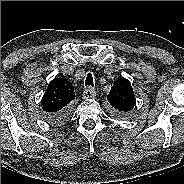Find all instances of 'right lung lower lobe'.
<instances>
[{"label": "right lung lower lobe", "mask_w": 184, "mask_h": 184, "mask_svg": "<svg viewBox=\"0 0 184 184\" xmlns=\"http://www.w3.org/2000/svg\"><path fill=\"white\" fill-rule=\"evenodd\" d=\"M67 118V112L66 110L57 113V114H53V115H47V119L50 122H56V123H60L62 121H64Z\"/></svg>", "instance_id": "right-lung-lower-lobe-1"}]
</instances>
